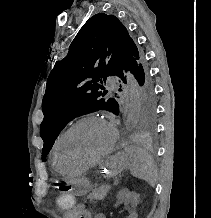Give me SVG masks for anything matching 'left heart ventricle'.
I'll list each match as a JSON object with an SVG mask.
<instances>
[{"label":"left heart ventricle","mask_w":211,"mask_h":218,"mask_svg":"<svg viewBox=\"0 0 211 218\" xmlns=\"http://www.w3.org/2000/svg\"><path fill=\"white\" fill-rule=\"evenodd\" d=\"M111 142L112 133L106 123L100 120L84 122L66 136L60 148V160L77 164L90 162Z\"/></svg>","instance_id":"1"}]
</instances>
